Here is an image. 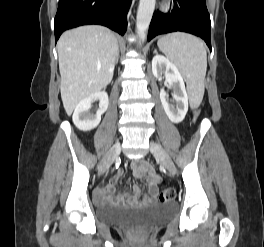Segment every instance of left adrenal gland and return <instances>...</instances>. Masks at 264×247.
I'll return each mask as SVG.
<instances>
[{"mask_svg":"<svg viewBox=\"0 0 264 247\" xmlns=\"http://www.w3.org/2000/svg\"><path fill=\"white\" fill-rule=\"evenodd\" d=\"M153 53H157V50L155 49Z\"/></svg>","mask_w":264,"mask_h":247,"instance_id":"left-adrenal-gland-1","label":"left adrenal gland"}]
</instances>
